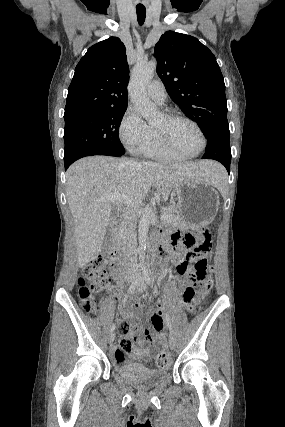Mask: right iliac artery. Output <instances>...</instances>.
Here are the masks:
<instances>
[{
    "mask_svg": "<svg viewBox=\"0 0 285 427\" xmlns=\"http://www.w3.org/2000/svg\"><path fill=\"white\" fill-rule=\"evenodd\" d=\"M137 284H138L137 281H135V282L132 283V285L127 290V295L131 294L135 290ZM114 330H115V324H112L110 332H113Z\"/></svg>",
    "mask_w": 285,
    "mask_h": 427,
    "instance_id": "1",
    "label": "right iliac artery"
}]
</instances>
